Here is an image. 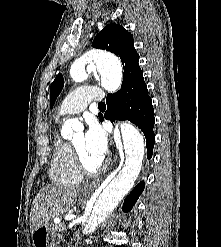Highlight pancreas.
Returning <instances> with one entry per match:
<instances>
[{
    "label": "pancreas",
    "instance_id": "obj_1",
    "mask_svg": "<svg viewBox=\"0 0 221 247\" xmlns=\"http://www.w3.org/2000/svg\"><path fill=\"white\" fill-rule=\"evenodd\" d=\"M52 228L55 236L61 239L62 233L66 230V225L64 223H60V224L52 223Z\"/></svg>",
    "mask_w": 221,
    "mask_h": 247
}]
</instances>
